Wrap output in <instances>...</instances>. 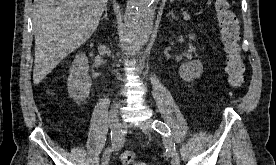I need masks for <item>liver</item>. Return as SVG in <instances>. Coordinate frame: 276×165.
Returning a JSON list of instances; mask_svg holds the SVG:
<instances>
[{
    "label": "liver",
    "instance_id": "1",
    "mask_svg": "<svg viewBox=\"0 0 276 165\" xmlns=\"http://www.w3.org/2000/svg\"><path fill=\"white\" fill-rule=\"evenodd\" d=\"M108 0H35L33 83L39 84L97 29Z\"/></svg>",
    "mask_w": 276,
    "mask_h": 165
}]
</instances>
